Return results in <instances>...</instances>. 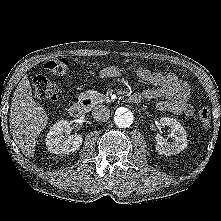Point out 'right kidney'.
Returning a JSON list of instances; mask_svg holds the SVG:
<instances>
[{
  "instance_id": "1",
  "label": "right kidney",
  "mask_w": 221,
  "mask_h": 221,
  "mask_svg": "<svg viewBox=\"0 0 221 221\" xmlns=\"http://www.w3.org/2000/svg\"><path fill=\"white\" fill-rule=\"evenodd\" d=\"M70 122L60 120L49 130L46 137V146L50 153L69 154L80 148L83 138L79 134L65 136L64 133L70 128Z\"/></svg>"
}]
</instances>
